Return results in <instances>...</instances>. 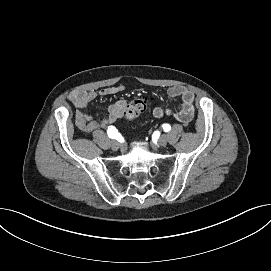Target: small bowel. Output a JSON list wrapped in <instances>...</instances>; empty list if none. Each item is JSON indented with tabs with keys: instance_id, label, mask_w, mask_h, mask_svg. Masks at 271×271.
<instances>
[{
	"instance_id": "obj_1",
	"label": "small bowel",
	"mask_w": 271,
	"mask_h": 271,
	"mask_svg": "<svg viewBox=\"0 0 271 271\" xmlns=\"http://www.w3.org/2000/svg\"><path fill=\"white\" fill-rule=\"evenodd\" d=\"M124 90V86H112L99 91L74 90L69 94V99L76 108L75 124L77 128L84 133H94L100 129L114 123L120 118L127 106L125 100H119L111 104L108 112L101 119H94L88 116L84 109L87 105L98 97L116 95ZM168 95L173 98H179L180 104L175 108L156 107L153 109V116L162 118L165 116L174 117L176 120L186 123L194 115V94L184 86H173L167 91Z\"/></svg>"
}]
</instances>
